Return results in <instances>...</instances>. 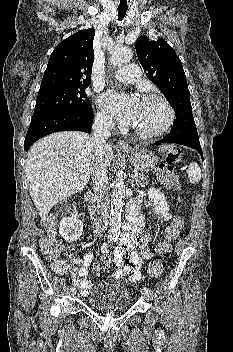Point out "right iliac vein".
Here are the masks:
<instances>
[{
    "label": "right iliac vein",
    "instance_id": "obj_1",
    "mask_svg": "<svg viewBox=\"0 0 233 352\" xmlns=\"http://www.w3.org/2000/svg\"><path fill=\"white\" fill-rule=\"evenodd\" d=\"M73 295H76V292H73Z\"/></svg>",
    "mask_w": 233,
    "mask_h": 352
}]
</instances>
